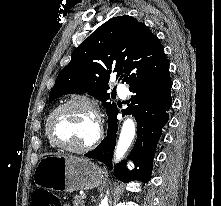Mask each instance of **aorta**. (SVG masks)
<instances>
[{
    "label": "aorta",
    "mask_w": 221,
    "mask_h": 206,
    "mask_svg": "<svg viewBox=\"0 0 221 206\" xmlns=\"http://www.w3.org/2000/svg\"><path fill=\"white\" fill-rule=\"evenodd\" d=\"M134 136H135V123L133 119L127 118L122 125L119 140L116 146L115 155H114L115 162H118L123 158L128 148L130 147ZM100 206H108L107 197H105L101 201Z\"/></svg>",
    "instance_id": "1"
}]
</instances>
